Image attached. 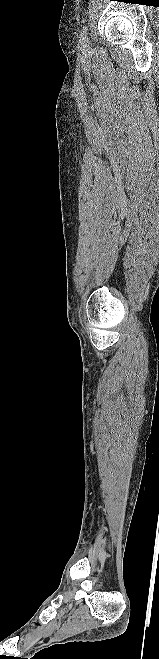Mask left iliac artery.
I'll list each match as a JSON object with an SVG mask.
<instances>
[{"mask_svg": "<svg viewBox=\"0 0 159 659\" xmlns=\"http://www.w3.org/2000/svg\"><path fill=\"white\" fill-rule=\"evenodd\" d=\"M81 37H82V40H83L84 43L87 44L89 42L88 37H87V26L86 25H84L83 28H82Z\"/></svg>", "mask_w": 159, "mask_h": 659, "instance_id": "44dca946", "label": "left iliac artery"}]
</instances>
